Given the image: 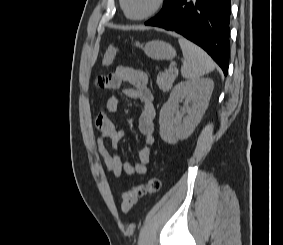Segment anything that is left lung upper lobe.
I'll use <instances>...</instances> for the list:
<instances>
[{"label":"left lung upper lobe","mask_w":283,"mask_h":245,"mask_svg":"<svg viewBox=\"0 0 283 245\" xmlns=\"http://www.w3.org/2000/svg\"><path fill=\"white\" fill-rule=\"evenodd\" d=\"M172 1L173 0H164L163 8L161 9V11L159 13L164 11L171 4Z\"/></svg>","instance_id":"5c2ea615"}]
</instances>
